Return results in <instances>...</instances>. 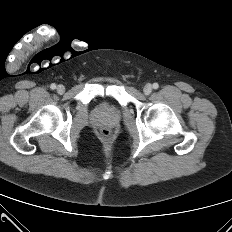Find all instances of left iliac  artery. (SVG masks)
<instances>
[{"instance_id":"44dca946","label":"left iliac artery","mask_w":232,"mask_h":232,"mask_svg":"<svg viewBox=\"0 0 232 232\" xmlns=\"http://www.w3.org/2000/svg\"><path fill=\"white\" fill-rule=\"evenodd\" d=\"M158 87H159L158 83H154V84H153V88H154V89H157Z\"/></svg>"}]
</instances>
